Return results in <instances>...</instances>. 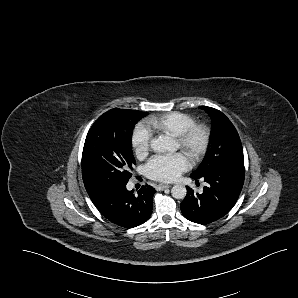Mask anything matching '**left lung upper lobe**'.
Listing matches in <instances>:
<instances>
[{
	"mask_svg": "<svg viewBox=\"0 0 298 298\" xmlns=\"http://www.w3.org/2000/svg\"><path fill=\"white\" fill-rule=\"evenodd\" d=\"M212 119V147L200 167L191 176L243 160V149L238 133L231 121L219 110L201 106Z\"/></svg>",
	"mask_w": 298,
	"mask_h": 298,
	"instance_id": "left-lung-upper-lobe-1",
	"label": "left lung upper lobe"
}]
</instances>
